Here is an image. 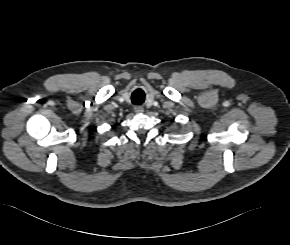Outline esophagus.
<instances>
[{"label":"esophagus","instance_id":"1","mask_svg":"<svg viewBox=\"0 0 290 245\" xmlns=\"http://www.w3.org/2000/svg\"><path fill=\"white\" fill-rule=\"evenodd\" d=\"M134 111L136 113H142L144 111V109L141 106H135L134 107Z\"/></svg>","mask_w":290,"mask_h":245}]
</instances>
